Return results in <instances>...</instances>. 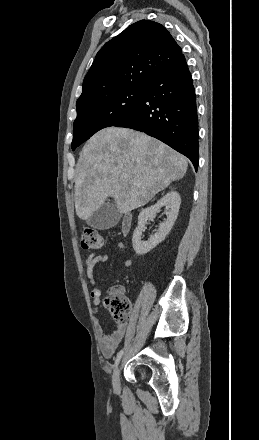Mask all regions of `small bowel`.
<instances>
[{
  "label": "small bowel",
  "mask_w": 259,
  "mask_h": 440,
  "mask_svg": "<svg viewBox=\"0 0 259 440\" xmlns=\"http://www.w3.org/2000/svg\"><path fill=\"white\" fill-rule=\"evenodd\" d=\"M116 246L121 250H125V246L122 242H117ZM107 260H108V255L106 254H99V255L90 254L87 256L84 263L85 273L88 278L89 285L91 286L90 296L93 299L95 312H97L101 306V300H100L101 290L96 285V281L94 278V269L96 265L104 263ZM124 264L125 266L129 267L132 265V260L130 258H125ZM125 331H126L125 327H119L116 330H114L112 333L106 334L100 325L97 326L96 333L99 339V348L104 357L109 358L112 356L115 349L119 346L120 342L122 341L125 335Z\"/></svg>",
  "instance_id": "small-bowel-1"
}]
</instances>
